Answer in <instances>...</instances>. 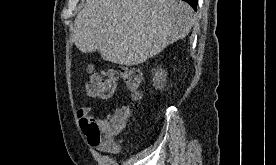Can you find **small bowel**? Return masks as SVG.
Masks as SVG:
<instances>
[{
    "mask_svg": "<svg viewBox=\"0 0 276 165\" xmlns=\"http://www.w3.org/2000/svg\"><path fill=\"white\" fill-rule=\"evenodd\" d=\"M93 109L91 107H84V108H81L80 110H78L77 114H78V117L80 119H82L84 116L86 115H90L92 113ZM106 121V120H105ZM105 121H103L105 123ZM97 148L101 151H105V152H110V151H113L115 149H111L108 145L106 144H100V145H97Z\"/></svg>",
    "mask_w": 276,
    "mask_h": 165,
    "instance_id": "1",
    "label": "small bowel"
}]
</instances>
